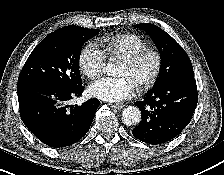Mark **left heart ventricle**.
<instances>
[{"label":"left heart ventricle","instance_id":"left-heart-ventricle-1","mask_svg":"<svg viewBox=\"0 0 224 175\" xmlns=\"http://www.w3.org/2000/svg\"><path fill=\"white\" fill-rule=\"evenodd\" d=\"M154 67V59L151 56L144 58L135 68H129L122 63L118 69V76L128 77L137 86L139 83L146 80Z\"/></svg>","mask_w":224,"mask_h":175}]
</instances>
